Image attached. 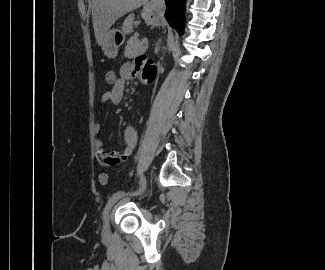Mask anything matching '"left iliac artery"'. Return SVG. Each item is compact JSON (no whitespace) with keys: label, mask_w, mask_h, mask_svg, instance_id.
Here are the masks:
<instances>
[{"label":"left iliac artery","mask_w":325,"mask_h":270,"mask_svg":"<svg viewBox=\"0 0 325 270\" xmlns=\"http://www.w3.org/2000/svg\"><path fill=\"white\" fill-rule=\"evenodd\" d=\"M146 188V180H145V177L143 175H141L140 177V187L138 190L134 191L132 193V195H139L141 194L144 189ZM129 193H125V192H117L115 194H113L110 199L108 200L105 208H104V211H103V218L106 217V215L108 214L109 210L111 209V207L113 206V204L119 200L121 197L125 196V195H128Z\"/></svg>","instance_id":"44dca946"}]
</instances>
